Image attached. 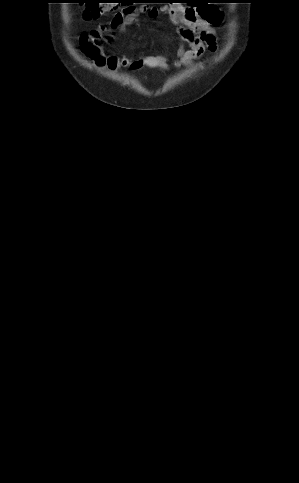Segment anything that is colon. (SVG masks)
Returning <instances> with one entry per match:
<instances>
[{"label": "colon", "mask_w": 299, "mask_h": 483, "mask_svg": "<svg viewBox=\"0 0 299 483\" xmlns=\"http://www.w3.org/2000/svg\"><path fill=\"white\" fill-rule=\"evenodd\" d=\"M86 3L88 6L84 10V16L89 19H99L111 15L118 6L122 5L120 0H87ZM198 11L201 18L209 19L204 5H200Z\"/></svg>", "instance_id": "5ec220e1"}]
</instances>
